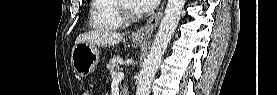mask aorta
Returning a JSON list of instances; mask_svg holds the SVG:
<instances>
[{
	"label": "aorta",
	"instance_id": "1",
	"mask_svg": "<svg viewBox=\"0 0 277 95\" xmlns=\"http://www.w3.org/2000/svg\"><path fill=\"white\" fill-rule=\"evenodd\" d=\"M185 0H168L158 32L138 77L136 95H150L153 78L176 30Z\"/></svg>",
	"mask_w": 277,
	"mask_h": 95
}]
</instances>
